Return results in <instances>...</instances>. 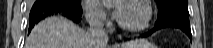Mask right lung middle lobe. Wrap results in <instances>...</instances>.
Listing matches in <instances>:
<instances>
[{
  "mask_svg": "<svg viewBox=\"0 0 213 48\" xmlns=\"http://www.w3.org/2000/svg\"><path fill=\"white\" fill-rule=\"evenodd\" d=\"M72 1H74V2H76L78 4H81V0H72Z\"/></svg>",
  "mask_w": 213,
  "mask_h": 48,
  "instance_id": "right-lung-middle-lobe-1",
  "label": "right lung middle lobe"
}]
</instances>
